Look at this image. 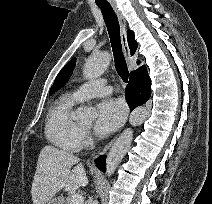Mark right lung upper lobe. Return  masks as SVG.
Listing matches in <instances>:
<instances>
[{"label": "right lung upper lobe", "mask_w": 212, "mask_h": 204, "mask_svg": "<svg viewBox=\"0 0 212 204\" xmlns=\"http://www.w3.org/2000/svg\"><path fill=\"white\" fill-rule=\"evenodd\" d=\"M127 39L131 50V54H134L137 48V42L134 39V33L130 30L127 31ZM137 63L139 64L140 62L138 61Z\"/></svg>", "instance_id": "1"}]
</instances>
